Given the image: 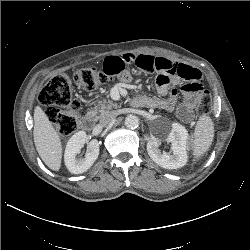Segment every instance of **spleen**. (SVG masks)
<instances>
[{"instance_id":"spleen-1","label":"spleen","mask_w":250,"mask_h":250,"mask_svg":"<svg viewBox=\"0 0 250 250\" xmlns=\"http://www.w3.org/2000/svg\"><path fill=\"white\" fill-rule=\"evenodd\" d=\"M214 138V124L209 116L199 118L193 134V155L200 157L211 146Z\"/></svg>"}]
</instances>
